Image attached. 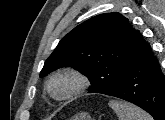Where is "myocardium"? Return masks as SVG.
Wrapping results in <instances>:
<instances>
[{
  "label": "myocardium",
  "mask_w": 165,
  "mask_h": 120,
  "mask_svg": "<svg viewBox=\"0 0 165 120\" xmlns=\"http://www.w3.org/2000/svg\"><path fill=\"white\" fill-rule=\"evenodd\" d=\"M60 79L68 80L70 87L65 93L58 95L55 93L53 86L54 83ZM87 84L86 77L80 71L67 67L57 70L50 76L47 83V90L53 98L63 101L81 93L87 87Z\"/></svg>",
  "instance_id": "f54148a6"
}]
</instances>
